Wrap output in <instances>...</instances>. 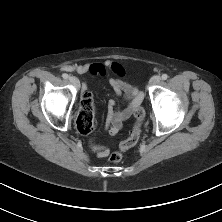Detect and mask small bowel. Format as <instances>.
<instances>
[{"instance_id": "1", "label": "small bowel", "mask_w": 222, "mask_h": 222, "mask_svg": "<svg viewBox=\"0 0 222 222\" xmlns=\"http://www.w3.org/2000/svg\"><path fill=\"white\" fill-rule=\"evenodd\" d=\"M113 66L114 63L112 61H107L104 64L87 63L83 65H68L65 67V70L77 72L79 74L89 73L90 75L96 76L104 74L107 68H114ZM117 71L121 72L120 69H117ZM109 83L117 96L124 94L125 100L124 105L121 107H116L115 100H110L108 103V114L105 127L107 131L113 135L120 131L124 121L132 115L137 106L142 102L143 94L137 87L118 78H110ZM83 88L85 89L86 86H83ZM94 128L95 122L93 121L90 132ZM91 148L98 157H106L110 152L107 147L98 144H92Z\"/></svg>"}]
</instances>
